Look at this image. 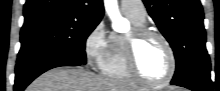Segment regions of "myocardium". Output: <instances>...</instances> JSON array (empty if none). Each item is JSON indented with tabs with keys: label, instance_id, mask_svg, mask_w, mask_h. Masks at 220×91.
<instances>
[{
	"label": "myocardium",
	"instance_id": "1",
	"mask_svg": "<svg viewBox=\"0 0 220 91\" xmlns=\"http://www.w3.org/2000/svg\"><path fill=\"white\" fill-rule=\"evenodd\" d=\"M149 38H157L159 39L165 46L169 59H170V69L168 74L161 80L152 81L143 76L141 73L138 60H137V52L139 45L149 39ZM125 52H126V63L127 68L132 75L133 79L137 82L141 83L147 87H160L169 83L175 75L177 68V59L174 52V49L169 42V40L160 32L156 30H152L146 27H135L132 32L125 38Z\"/></svg>",
	"mask_w": 220,
	"mask_h": 91
}]
</instances>
